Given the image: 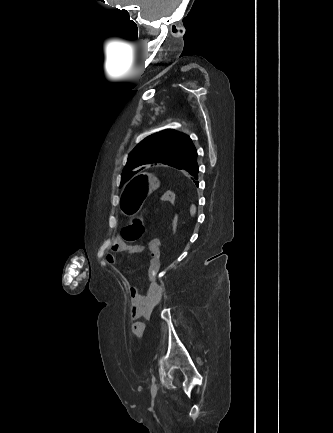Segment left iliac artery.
<instances>
[{
	"instance_id": "1",
	"label": "left iliac artery",
	"mask_w": 333,
	"mask_h": 433,
	"mask_svg": "<svg viewBox=\"0 0 333 433\" xmlns=\"http://www.w3.org/2000/svg\"><path fill=\"white\" fill-rule=\"evenodd\" d=\"M152 383H154L155 382V377L154 376H152Z\"/></svg>"
}]
</instances>
